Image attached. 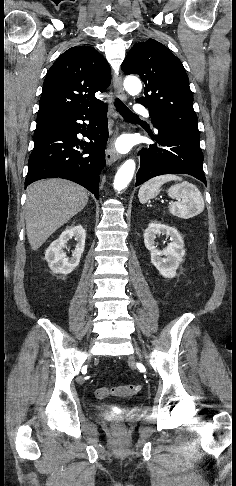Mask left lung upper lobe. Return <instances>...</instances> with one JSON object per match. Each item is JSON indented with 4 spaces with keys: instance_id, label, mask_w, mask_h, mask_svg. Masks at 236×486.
I'll list each match as a JSON object with an SVG mask.
<instances>
[{
    "instance_id": "obj_1",
    "label": "left lung upper lobe",
    "mask_w": 236,
    "mask_h": 486,
    "mask_svg": "<svg viewBox=\"0 0 236 486\" xmlns=\"http://www.w3.org/2000/svg\"><path fill=\"white\" fill-rule=\"evenodd\" d=\"M122 70L143 79L145 97L136 101L149 109L153 124L160 121L199 131L188 76L180 60L166 46L154 39L134 44Z\"/></svg>"
}]
</instances>
